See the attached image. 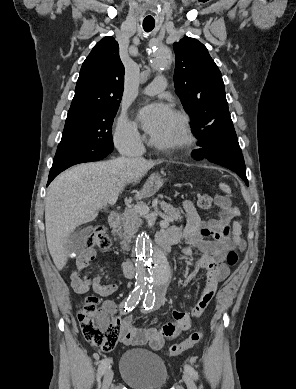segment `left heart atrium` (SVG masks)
<instances>
[{
	"instance_id": "39dd6f15",
	"label": "left heart atrium",
	"mask_w": 296,
	"mask_h": 389,
	"mask_svg": "<svg viewBox=\"0 0 296 389\" xmlns=\"http://www.w3.org/2000/svg\"><path fill=\"white\" fill-rule=\"evenodd\" d=\"M172 111L164 103H154L140 109L138 118L143 129L155 136L164 127Z\"/></svg>"
}]
</instances>
